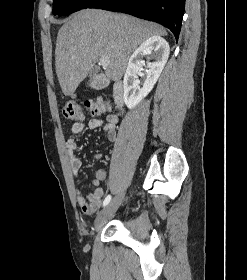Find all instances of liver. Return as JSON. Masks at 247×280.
<instances>
[{"label":"liver","instance_id":"liver-1","mask_svg":"<svg viewBox=\"0 0 247 280\" xmlns=\"http://www.w3.org/2000/svg\"><path fill=\"white\" fill-rule=\"evenodd\" d=\"M167 35L158 24L97 9L73 14L59 29L55 69L62 92L73 96L102 56L109 58L105 73L118 81L125 73L131 53L152 36Z\"/></svg>","mask_w":247,"mask_h":280}]
</instances>
